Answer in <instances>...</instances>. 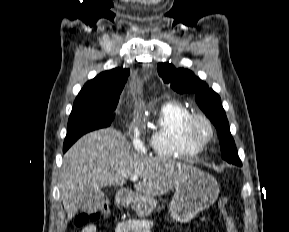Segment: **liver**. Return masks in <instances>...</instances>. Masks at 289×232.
I'll return each mask as SVG.
<instances>
[{
    "mask_svg": "<svg viewBox=\"0 0 289 232\" xmlns=\"http://www.w3.org/2000/svg\"><path fill=\"white\" fill-rule=\"evenodd\" d=\"M121 132L106 128L81 137L64 155L60 193L68 220L81 208L83 193L110 185L123 186L132 176L141 195L162 196L179 185L194 168L169 159L136 157Z\"/></svg>",
    "mask_w": 289,
    "mask_h": 232,
    "instance_id": "1",
    "label": "liver"
}]
</instances>
